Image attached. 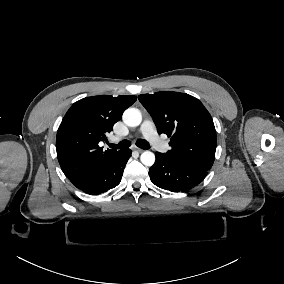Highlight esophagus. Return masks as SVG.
Listing matches in <instances>:
<instances>
[{"instance_id": "1", "label": "esophagus", "mask_w": 284, "mask_h": 284, "mask_svg": "<svg viewBox=\"0 0 284 284\" xmlns=\"http://www.w3.org/2000/svg\"><path fill=\"white\" fill-rule=\"evenodd\" d=\"M132 150H135V151H137V152H139V153H142L144 150L143 149H140L139 147H137V146H132Z\"/></svg>"}]
</instances>
